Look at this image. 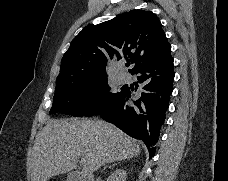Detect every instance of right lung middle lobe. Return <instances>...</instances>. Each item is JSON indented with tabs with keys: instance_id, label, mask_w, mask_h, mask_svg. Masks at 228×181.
<instances>
[{
	"instance_id": "obj_1",
	"label": "right lung middle lobe",
	"mask_w": 228,
	"mask_h": 181,
	"mask_svg": "<svg viewBox=\"0 0 228 181\" xmlns=\"http://www.w3.org/2000/svg\"><path fill=\"white\" fill-rule=\"evenodd\" d=\"M107 76L56 85L51 114L99 115L122 94L110 92Z\"/></svg>"
}]
</instances>
